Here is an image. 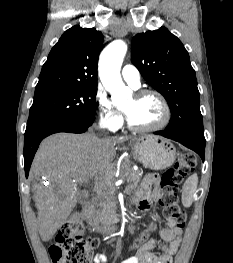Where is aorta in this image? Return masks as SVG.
Instances as JSON below:
<instances>
[{"instance_id":"obj_1","label":"aorta","mask_w":233,"mask_h":263,"mask_svg":"<svg viewBox=\"0 0 233 263\" xmlns=\"http://www.w3.org/2000/svg\"><path fill=\"white\" fill-rule=\"evenodd\" d=\"M127 52V45L122 40L111 42L102 52L99 62L100 79L116 103L126 101L131 90L124 85L120 69Z\"/></svg>"}]
</instances>
